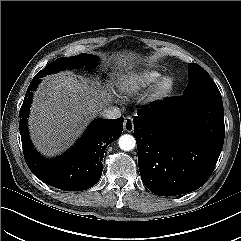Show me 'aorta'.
<instances>
[{"label":"aorta","mask_w":241,"mask_h":241,"mask_svg":"<svg viewBox=\"0 0 241 241\" xmlns=\"http://www.w3.org/2000/svg\"><path fill=\"white\" fill-rule=\"evenodd\" d=\"M118 144L121 150L130 151L133 150L136 146V140L132 135L124 134L120 136Z\"/></svg>","instance_id":"1"}]
</instances>
